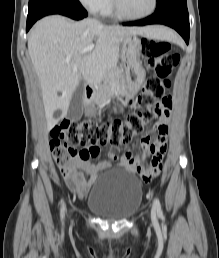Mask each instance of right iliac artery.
<instances>
[{"mask_svg":"<svg viewBox=\"0 0 219 258\" xmlns=\"http://www.w3.org/2000/svg\"><path fill=\"white\" fill-rule=\"evenodd\" d=\"M64 210H65V204H62V209H61V217L63 218L64 216Z\"/></svg>","mask_w":219,"mask_h":258,"instance_id":"82829eb1","label":"right iliac artery"}]
</instances>
